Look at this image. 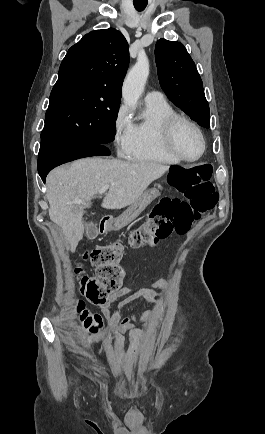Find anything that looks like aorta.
<instances>
[{"label": "aorta", "instance_id": "1", "mask_svg": "<svg viewBox=\"0 0 265 434\" xmlns=\"http://www.w3.org/2000/svg\"><path fill=\"white\" fill-rule=\"evenodd\" d=\"M149 60L147 56H138L137 62L129 70L122 86V98L125 106H135L145 90L149 76Z\"/></svg>", "mask_w": 265, "mask_h": 434}]
</instances>
